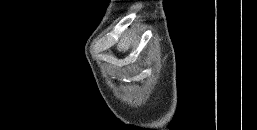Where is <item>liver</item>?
I'll use <instances>...</instances> for the list:
<instances>
[{"label": "liver", "instance_id": "liver-1", "mask_svg": "<svg viewBox=\"0 0 257 130\" xmlns=\"http://www.w3.org/2000/svg\"><path fill=\"white\" fill-rule=\"evenodd\" d=\"M131 42H129L128 38H122L117 45V49L119 51H127L130 47Z\"/></svg>", "mask_w": 257, "mask_h": 130}]
</instances>
